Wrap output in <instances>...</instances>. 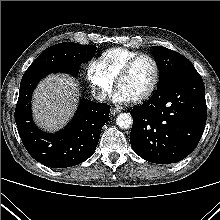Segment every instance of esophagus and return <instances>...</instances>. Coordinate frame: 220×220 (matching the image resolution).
Returning a JSON list of instances; mask_svg holds the SVG:
<instances>
[{
	"mask_svg": "<svg viewBox=\"0 0 220 220\" xmlns=\"http://www.w3.org/2000/svg\"><path fill=\"white\" fill-rule=\"evenodd\" d=\"M120 112V110L119 109H117V108H111V114L112 115H116V114H118Z\"/></svg>",
	"mask_w": 220,
	"mask_h": 220,
	"instance_id": "1",
	"label": "esophagus"
}]
</instances>
